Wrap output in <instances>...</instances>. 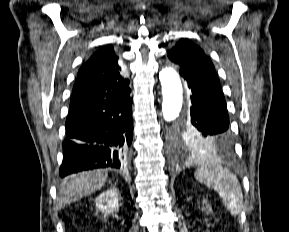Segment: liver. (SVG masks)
Listing matches in <instances>:
<instances>
[{
  "mask_svg": "<svg viewBox=\"0 0 289 232\" xmlns=\"http://www.w3.org/2000/svg\"><path fill=\"white\" fill-rule=\"evenodd\" d=\"M105 170L82 172L74 176L60 188L58 203L68 204L76 199H81L100 190L107 180Z\"/></svg>",
  "mask_w": 289,
  "mask_h": 232,
  "instance_id": "obj_1",
  "label": "liver"
}]
</instances>
